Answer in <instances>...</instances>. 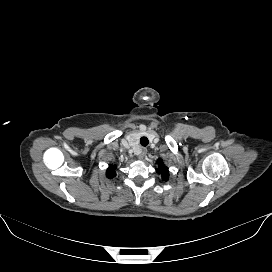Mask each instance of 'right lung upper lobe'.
<instances>
[{
	"label": "right lung upper lobe",
	"instance_id": "1",
	"mask_svg": "<svg viewBox=\"0 0 272 272\" xmlns=\"http://www.w3.org/2000/svg\"><path fill=\"white\" fill-rule=\"evenodd\" d=\"M115 169H116L115 166H113L111 164L109 165V168L107 169V172H106L107 178L111 179L115 176V174H116Z\"/></svg>",
	"mask_w": 272,
	"mask_h": 272
}]
</instances>
